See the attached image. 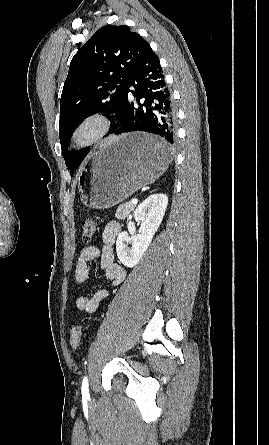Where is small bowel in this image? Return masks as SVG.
I'll use <instances>...</instances> for the list:
<instances>
[{
  "label": "small bowel",
  "mask_w": 269,
  "mask_h": 445,
  "mask_svg": "<svg viewBox=\"0 0 269 445\" xmlns=\"http://www.w3.org/2000/svg\"><path fill=\"white\" fill-rule=\"evenodd\" d=\"M121 231L119 223L115 221L108 222L102 232V248L95 245L85 246L79 255L76 269L75 280L78 284H83L89 277L88 264L98 259L99 265L105 272L106 278L113 286L121 284L126 273L124 269L115 261L113 245ZM110 291L106 287L97 289L91 296H80L76 300V306L79 310L92 314L96 312L100 302L106 299Z\"/></svg>",
  "instance_id": "obj_1"
}]
</instances>
